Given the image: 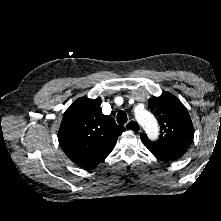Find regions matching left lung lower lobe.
Masks as SVG:
<instances>
[{"label": "left lung lower lobe", "mask_w": 221, "mask_h": 221, "mask_svg": "<svg viewBox=\"0 0 221 221\" xmlns=\"http://www.w3.org/2000/svg\"><path fill=\"white\" fill-rule=\"evenodd\" d=\"M188 147H180L173 151H159L156 149H149V151L159 160L163 162H170L175 161L181 158L185 152L187 151Z\"/></svg>", "instance_id": "obj_1"}]
</instances>
